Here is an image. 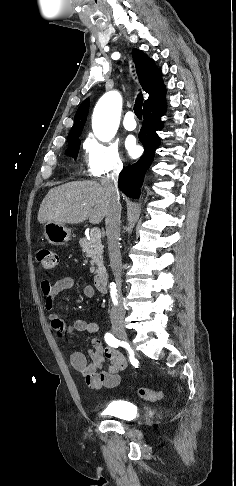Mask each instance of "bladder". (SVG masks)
Listing matches in <instances>:
<instances>
[{
    "instance_id": "31cf9c89",
    "label": "bladder",
    "mask_w": 236,
    "mask_h": 486,
    "mask_svg": "<svg viewBox=\"0 0 236 486\" xmlns=\"http://www.w3.org/2000/svg\"><path fill=\"white\" fill-rule=\"evenodd\" d=\"M138 407L130 401H112L104 409V414L118 419L131 420L137 415Z\"/></svg>"
}]
</instances>
